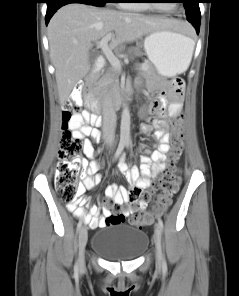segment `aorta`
<instances>
[{
    "label": "aorta",
    "instance_id": "aorta-1",
    "mask_svg": "<svg viewBox=\"0 0 239 296\" xmlns=\"http://www.w3.org/2000/svg\"><path fill=\"white\" fill-rule=\"evenodd\" d=\"M130 137V112L125 105L121 115L120 138L121 141L128 140Z\"/></svg>",
    "mask_w": 239,
    "mask_h": 296
}]
</instances>
